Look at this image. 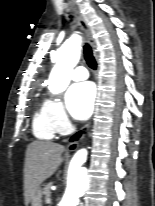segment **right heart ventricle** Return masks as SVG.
Masks as SVG:
<instances>
[{"instance_id": "1", "label": "right heart ventricle", "mask_w": 155, "mask_h": 206, "mask_svg": "<svg viewBox=\"0 0 155 206\" xmlns=\"http://www.w3.org/2000/svg\"><path fill=\"white\" fill-rule=\"evenodd\" d=\"M43 105L33 117V133L38 139L51 140L56 131L46 116Z\"/></svg>"}]
</instances>
